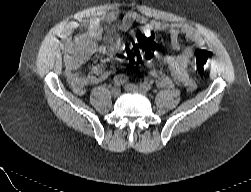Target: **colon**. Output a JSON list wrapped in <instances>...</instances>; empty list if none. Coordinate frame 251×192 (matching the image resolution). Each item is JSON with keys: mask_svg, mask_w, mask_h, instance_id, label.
I'll use <instances>...</instances> for the list:
<instances>
[{"mask_svg": "<svg viewBox=\"0 0 251 192\" xmlns=\"http://www.w3.org/2000/svg\"><path fill=\"white\" fill-rule=\"evenodd\" d=\"M157 52L158 44L155 36L151 33H142L133 44L122 49L118 59L123 68H131L138 63L152 60L157 56ZM211 58L208 51H199L195 58L196 69L198 71L207 69Z\"/></svg>", "mask_w": 251, "mask_h": 192, "instance_id": "colon-1", "label": "colon"}]
</instances>
